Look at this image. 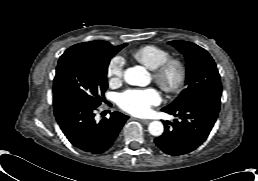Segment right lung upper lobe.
<instances>
[{
  "label": "right lung upper lobe",
  "mask_w": 258,
  "mask_h": 181,
  "mask_svg": "<svg viewBox=\"0 0 258 181\" xmlns=\"http://www.w3.org/2000/svg\"><path fill=\"white\" fill-rule=\"evenodd\" d=\"M74 46H79V47H87L96 51H106V50H113L117 48V46H112L110 43L106 41H101V40H96V41H91V42H84L80 44H76Z\"/></svg>",
  "instance_id": "right-lung-upper-lobe-1"
}]
</instances>
